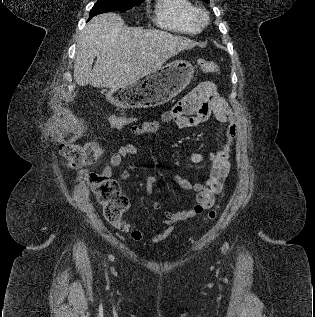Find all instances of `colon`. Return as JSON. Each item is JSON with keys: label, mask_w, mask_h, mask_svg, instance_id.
<instances>
[{"label": "colon", "mask_w": 315, "mask_h": 317, "mask_svg": "<svg viewBox=\"0 0 315 317\" xmlns=\"http://www.w3.org/2000/svg\"><path fill=\"white\" fill-rule=\"evenodd\" d=\"M199 68L203 72L217 73L218 65L211 60L200 59L197 61ZM133 122L131 117H118L113 122L114 129L119 130L122 127ZM103 149L98 144L72 145L67 149V155L70 161L76 165H86L96 161L102 154ZM89 183L96 195V198L101 205L104 217L112 225L121 228L124 224L123 215L128 209V198L120 191L118 182L103 173H92L89 177ZM217 211L211 210L208 215V220H213L216 217Z\"/></svg>", "instance_id": "1"}]
</instances>
